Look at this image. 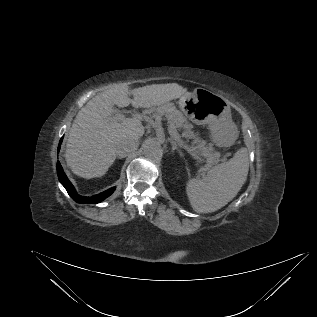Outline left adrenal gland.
I'll list each match as a JSON object with an SVG mask.
<instances>
[{
	"instance_id": "left-adrenal-gland-1",
	"label": "left adrenal gland",
	"mask_w": 317,
	"mask_h": 317,
	"mask_svg": "<svg viewBox=\"0 0 317 317\" xmlns=\"http://www.w3.org/2000/svg\"><path fill=\"white\" fill-rule=\"evenodd\" d=\"M171 145H172V152H174L175 150H177L178 152L181 153L180 149L178 148V144L176 143V141H174L173 139H169Z\"/></svg>"
}]
</instances>
